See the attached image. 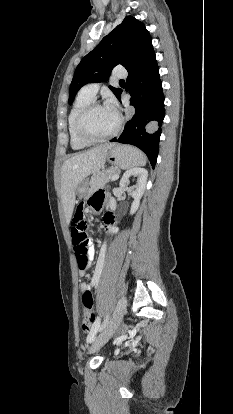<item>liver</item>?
I'll list each match as a JSON object with an SVG mask.
<instances>
[{
  "mask_svg": "<svg viewBox=\"0 0 233 414\" xmlns=\"http://www.w3.org/2000/svg\"><path fill=\"white\" fill-rule=\"evenodd\" d=\"M114 144H102L67 159L61 169V201L67 221L75 205L76 189L90 174L98 172L106 161V154Z\"/></svg>",
  "mask_w": 233,
  "mask_h": 414,
  "instance_id": "obj_1",
  "label": "liver"
}]
</instances>
